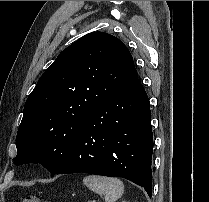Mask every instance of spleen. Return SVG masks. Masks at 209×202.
<instances>
[{
  "instance_id": "3e777b00",
  "label": "spleen",
  "mask_w": 209,
  "mask_h": 202,
  "mask_svg": "<svg viewBox=\"0 0 209 202\" xmlns=\"http://www.w3.org/2000/svg\"><path fill=\"white\" fill-rule=\"evenodd\" d=\"M83 183L91 191L104 194L105 202H115L124 193L123 182L118 178L88 175L83 178Z\"/></svg>"
}]
</instances>
